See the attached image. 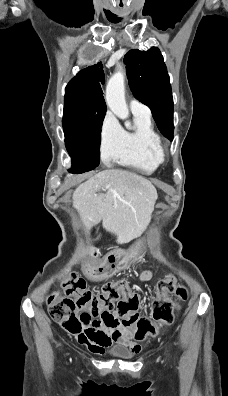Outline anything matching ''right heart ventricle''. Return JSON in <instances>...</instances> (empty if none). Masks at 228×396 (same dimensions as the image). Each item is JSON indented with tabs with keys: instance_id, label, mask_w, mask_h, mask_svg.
<instances>
[{
	"instance_id": "1",
	"label": "right heart ventricle",
	"mask_w": 228,
	"mask_h": 396,
	"mask_svg": "<svg viewBox=\"0 0 228 396\" xmlns=\"http://www.w3.org/2000/svg\"><path fill=\"white\" fill-rule=\"evenodd\" d=\"M161 139L151 118L146 114H134V127L123 130L122 142L115 161L142 173H153L162 163Z\"/></svg>"
}]
</instances>
